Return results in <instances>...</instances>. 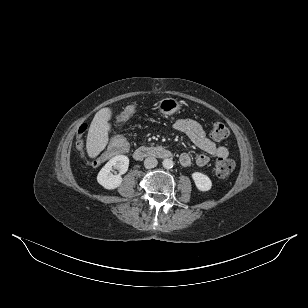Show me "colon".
I'll list each match as a JSON object with an SVG mask.
<instances>
[{
  "label": "colon",
  "mask_w": 308,
  "mask_h": 308,
  "mask_svg": "<svg viewBox=\"0 0 308 308\" xmlns=\"http://www.w3.org/2000/svg\"><path fill=\"white\" fill-rule=\"evenodd\" d=\"M136 111L135 105H130L125 108V110L121 113V115L117 119L118 124H122L128 118H130ZM87 129L86 124H82L78 130V149L83 152L84 142H83V134ZM211 138L215 141H222L229 136L228 128L221 122H215L212 125ZM110 148L105 150V155H102L96 159L89 160L88 162L91 165H99L101 162L104 165H107L113 158L121 155H126L130 151V147L128 146V142L124 139L122 134H111L109 136ZM235 163L233 160L227 157H218L213 165V173L218 178H226L228 177L234 170Z\"/></svg>",
  "instance_id": "1"
}]
</instances>
